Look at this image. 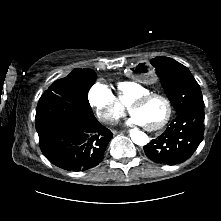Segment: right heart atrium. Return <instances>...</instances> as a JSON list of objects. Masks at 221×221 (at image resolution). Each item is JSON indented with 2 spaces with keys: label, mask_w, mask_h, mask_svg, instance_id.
Masks as SVG:
<instances>
[{
  "label": "right heart atrium",
  "mask_w": 221,
  "mask_h": 221,
  "mask_svg": "<svg viewBox=\"0 0 221 221\" xmlns=\"http://www.w3.org/2000/svg\"><path fill=\"white\" fill-rule=\"evenodd\" d=\"M88 101L98 118L105 124H113L124 115V105L112 90L102 82H97L90 88Z\"/></svg>",
  "instance_id": "right-heart-atrium-1"
}]
</instances>
